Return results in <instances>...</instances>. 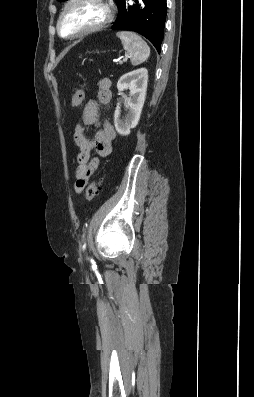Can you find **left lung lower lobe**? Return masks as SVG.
Here are the masks:
<instances>
[{"label":"left lung lower lobe","instance_id":"1","mask_svg":"<svg viewBox=\"0 0 254 397\" xmlns=\"http://www.w3.org/2000/svg\"><path fill=\"white\" fill-rule=\"evenodd\" d=\"M119 13L112 29L132 30L145 36L160 53L167 14L166 0H115Z\"/></svg>","mask_w":254,"mask_h":397}]
</instances>
